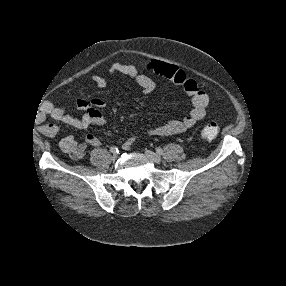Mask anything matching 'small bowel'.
<instances>
[{
  "label": "small bowel",
  "mask_w": 286,
  "mask_h": 286,
  "mask_svg": "<svg viewBox=\"0 0 286 286\" xmlns=\"http://www.w3.org/2000/svg\"><path fill=\"white\" fill-rule=\"evenodd\" d=\"M162 68L163 74H159L162 77L180 84L184 87V90L191 101V110L181 120L173 119L165 124L158 126L149 131L150 135L167 136L171 134L180 133L194 126L198 121L204 118L206 109L209 103L208 95L199 89L196 80L189 76L183 69L167 63H157ZM111 73L122 74L132 78L139 86L144 94H151L156 88V83L152 78L142 73L138 67L115 63L111 67ZM92 80L95 85L103 89L107 86V80L102 75H93ZM77 106L84 114L80 117H73L66 112L61 106L50 107L48 113L56 121L77 129L86 130L91 125H102L105 123L106 118L101 108L104 107L103 100L95 98L91 101L85 99H79ZM116 111V108H114ZM43 133L52 136L60 131V127L57 125L46 124L42 126ZM135 142V138L131 137L124 143L125 149H131ZM101 141L94 135H87L84 143H79L73 136L68 135L61 139L59 147L73 160L81 159L88 146H99Z\"/></svg>",
  "instance_id": "small-bowel-1"
}]
</instances>
